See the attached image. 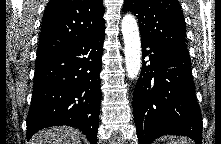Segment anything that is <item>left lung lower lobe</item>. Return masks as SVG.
<instances>
[{"mask_svg": "<svg viewBox=\"0 0 221 144\" xmlns=\"http://www.w3.org/2000/svg\"><path fill=\"white\" fill-rule=\"evenodd\" d=\"M144 61L133 94L139 144L162 135H181L202 142V115L195 99L191 60L187 51L141 38Z\"/></svg>", "mask_w": 221, "mask_h": 144, "instance_id": "0a47b994", "label": "left lung lower lobe"}]
</instances>
